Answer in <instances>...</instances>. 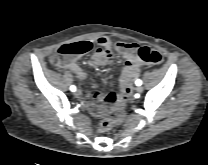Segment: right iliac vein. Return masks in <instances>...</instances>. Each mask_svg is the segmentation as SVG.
<instances>
[{
  "instance_id": "63e3f726",
  "label": "right iliac vein",
  "mask_w": 208,
  "mask_h": 165,
  "mask_svg": "<svg viewBox=\"0 0 208 165\" xmlns=\"http://www.w3.org/2000/svg\"><path fill=\"white\" fill-rule=\"evenodd\" d=\"M80 95H81L80 91H75V92H74V96H75V97L78 98V97H80Z\"/></svg>"
}]
</instances>
